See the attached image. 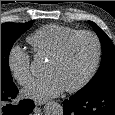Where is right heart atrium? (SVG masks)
Instances as JSON below:
<instances>
[{
	"mask_svg": "<svg viewBox=\"0 0 115 115\" xmlns=\"http://www.w3.org/2000/svg\"><path fill=\"white\" fill-rule=\"evenodd\" d=\"M7 64L14 79L22 86L29 84L33 78L30 54L19 44L10 47Z\"/></svg>",
	"mask_w": 115,
	"mask_h": 115,
	"instance_id": "obj_1",
	"label": "right heart atrium"
}]
</instances>
